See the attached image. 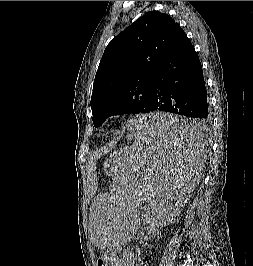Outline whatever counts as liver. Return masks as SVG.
Returning a JSON list of instances; mask_svg holds the SVG:
<instances>
[{
    "mask_svg": "<svg viewBox=\"0 0 253 266\" xmlns=\"http://www.w3.org/2000/svg\"><path fill=\"white\" fill-rule=\"evenodd\" d=\"M110 149H112V146L109 147V148H107V149H104V153H107ZM98 157H99V156L97 155V156L95 157V159L98 158Z\"/></svg>",
    "mask_w": 253,
    "mask_h": 266,
    "instance_id": "1",
    "label": "liver"
}]
</instances>
